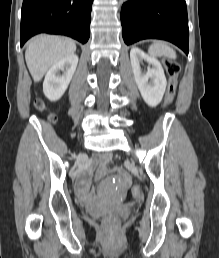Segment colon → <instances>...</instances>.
<instances>
[{
  "label": "colon",
  "instance_id": "colon-1",
  "mask_svg": "<svg viewBox=\"0 0 219 258\" xmlns=\"http://www.w3.org/2000/svg\"><path fill=\"white\" fill-rule=\"evenodd\" d=\"M163 64H164L165 71L168 75V85L165 93L164 105L169 106L173 102L176 95L177 77L180 72V65L176 61L171 59H166ZM35 105H36V108L39 110H43L44 108V103L41 100H37ZM50 120L54 122L55 117L50 116ZM131 194L134 198L140 197L141 188L138 185H134L131 188ZM102 227H103V232L105 236L107 237L114 236L119 231V228H120L119 217L114 213H110L106 215L103 219Z\"/></svg>",
  "mask_w": 219,
  "mask_h": 258
}]
</instances>
